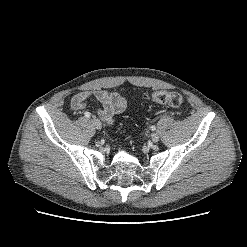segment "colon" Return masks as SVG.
<instances>
[{
    "label": "colon",
    "instance_id": "5ec220e1",
    "mask_svg": "<svg viewBox=\"0 0 247 247\" xmlns=\"http://www.w3.org/2000/svg\"><path fill=\"white\" fill-rule=\"evenodd\" d=\"M144 99L150 102H155L175 108L182 106L184 103L181 94L175 91H155L151 94L144 95Z\"/></svg>",
    "mask_w": 247,
    "mask_h": 247
}]
</instances>
